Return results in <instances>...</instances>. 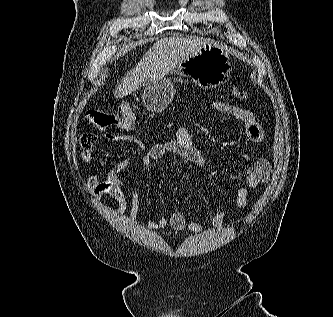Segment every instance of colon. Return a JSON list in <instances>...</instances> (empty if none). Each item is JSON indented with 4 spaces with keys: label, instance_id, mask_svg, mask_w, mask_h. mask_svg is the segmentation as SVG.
Listing matches in <instances>:
<instances>
[{
    "label": "colon",
    "instance_id": "5ec220e1",
    "mask_svg": "<svg viewBox=\"0 0 333 317\" xmlns=\"http://www.w3.org/2000/svg\"><path fill=\"white\" fill-rule=\"evenodd\" d=\"M232 94L238 99H247L249 94L246 91L233 88ZM136 115L128 104L119 106L116 112L92 109L86 112L84 122L88 127L101 131L117 129L119 131H130L134 128Z\"/></svg>",
    "mask_w": 333,
    "mask_h": 317
}]
</instances>
